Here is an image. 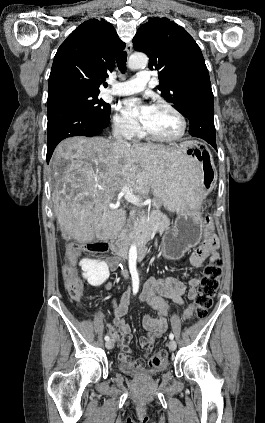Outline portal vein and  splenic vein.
Masks as SVG:
<instances>
[{"label": "portal vein and splenic vein", "instance_id": "portal-vein-and-splenic-vein-1", "mask_svg": "<svg viewBox=\"0 0 265 423\" xmlns=\"http://www.w3.org/2000/svg\"><path fill=\"white\" fill-rule=\"evenodd\" d=\"M121 198H124L125 200H127L128 202H130L131 204L135 206H139V207L143 206L141 199L131 192L130 186L123 187L122 190L118 193V199H121ZM111 207L114 208V206H111Z\"/></svg>", "mask_w": 265, "mask_h": 423}]
</instances>
